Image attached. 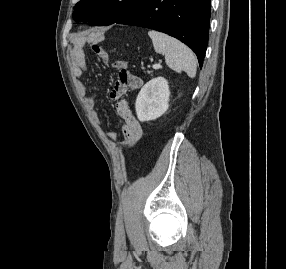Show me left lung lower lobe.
<instances>
[{
  "instance_id": "obj_1",
  "label": "left lung lower lobe",
  "mask_w": 286,
  "mask_h": 269,
  "mask_svg": "<svg viewBox=\"0 0 286 269\" xmlns=\"http://www.w3.org/2000/svg\"><path fill=\"white\" fill-rule=\"evenodd\" d=\"M210 0H144L115 23L145 27L173 36L203 64L208 42Z\"/></svg>"
}]
</instances>
